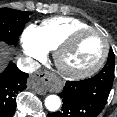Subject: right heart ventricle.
Returning <instances> with one entry per match:
<instances>
[{
	"label": "right heart ventricle",
	"instance_id": "1",
	"mask_svg": "<svg viewBox=\"0 0 117 117\" xmlns=\"http://www.w3.org/2000/svg\"><path fill=\"white\" fill-rule=\"evenodd\" d=\"M89 27L91 26L80 19L59 16L44 20L37 29L40 42L48 51L56 50L73 31Z\"/></svg>",
	"mask_w": 117,
	"mask_h": 117
}]
</instances>
